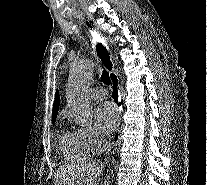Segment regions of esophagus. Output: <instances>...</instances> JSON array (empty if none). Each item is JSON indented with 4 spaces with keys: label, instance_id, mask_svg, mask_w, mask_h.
I'll list each match as a JSON object with an SVG mask.
<instances>
[{
    "label": "esophagus",
    "instance_id": "esophagus-1",
    "mask_svg": "<svg viewBox=\"0 0 207 185\" xmlns=\"http://www.w3.org/2000/svg\"><path fill=\"white\" fill-rule=\"evenodd\" d=\"M96 48H107V43H96ZM97 55H103L100 56V61L103 62L102 66L106 68V72H109L111 80V96L116 106L117 117V128L113 136V147L116 148L120 140L121 111H126L127 107L121 106L120 80L114 67L115 63L112 62L113 57L111 56V51L109 49L97 50Z\"/></svg>",
    "mask_w": 207,
    "mask_h": 185
}]
</instances>
